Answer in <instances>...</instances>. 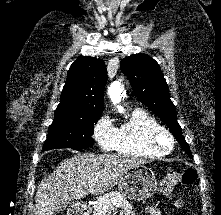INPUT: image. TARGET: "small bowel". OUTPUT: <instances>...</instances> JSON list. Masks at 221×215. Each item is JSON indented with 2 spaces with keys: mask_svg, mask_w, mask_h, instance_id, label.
I'll return each instance as SVG.
<instances>
[{
  "mask_svg": "<svg viewBox=\"0 0 221 215\" xmlns=\"http://www.w3.org/2000/svg\"><path fill=\"white\" fill-rule=\"evenodd\" d=\"M145 212L148 215H161V212L158 208L156 207H147ZM120 215H135L131 210H124Z\"/></svg>",
  "mask_w": 221,
  "mask_h": 215,
  "instance_id": "small-bowel-1",
  "label": "small bowel"
}]
</instances>
